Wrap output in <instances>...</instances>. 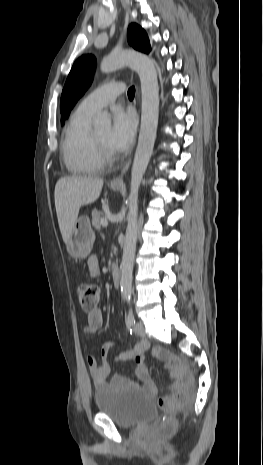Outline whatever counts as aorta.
Here are the masks:
<instances>
[{
	"instance_id": "aorta-1",
	"label": "aorta",
	"mask_w": 263,
	"mask_h": 465,
	"mask_svg": "<svg viewBox=\"0 0 263 465\" xmlns=\"http://www.w3.org/2000/svg\"><path fill=\"white\" fill-rule=\"evenodd\" d=\"M129 66L140 78L142 111L138 145L131 170L129 211L123 255L121 262V292L126 301L131 300L132 272L138 235V192L143 175L147 169L156 139L159 114V86L157 70L152 59L136 51H114L101 62L103 73L112 72L120 67ZM97 129H108L111 119L107 113H100L94 120Z\"/></svg>"
}]
</instances>
